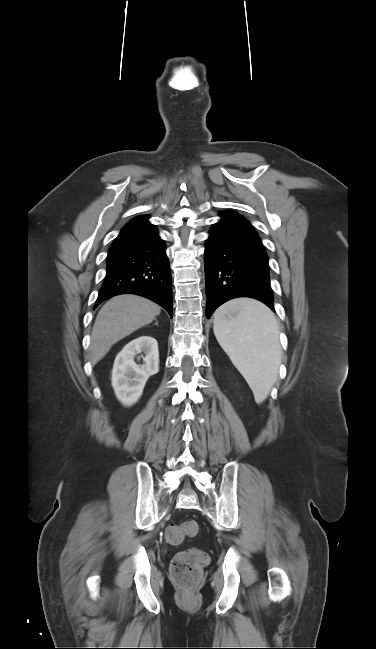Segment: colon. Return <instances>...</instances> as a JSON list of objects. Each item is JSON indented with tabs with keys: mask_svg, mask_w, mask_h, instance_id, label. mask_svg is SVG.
I'll return each instance as SVG.
<instances>
[{
	"mask_svg": "<svg viewBox=\"0 0 376 649\" xmlns=\"http://www.w3.org/2000/svg\"><path fill=\"white\" fill-rule=\"evenodd\" d=\"M199 532L197 521L189 519L181 524L170 525L165 531V540L170 545L180 544L186 537ZM206 552L191 548L175 555L170 565V574L175 583L185 590L193 589L199 582L203 568L208 564Z\"/></svg>",
	"mask_w": 376,
	"mask_h": 649,
	"instance_id": "1",
	"label": "colon"
}]
</instances>
